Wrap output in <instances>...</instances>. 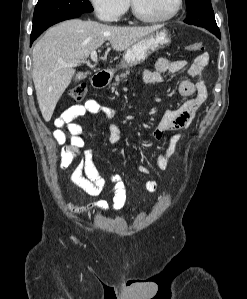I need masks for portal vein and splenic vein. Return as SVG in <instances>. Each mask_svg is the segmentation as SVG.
I'll return each mask as SVG.
<instances>
[{
    "instance_id": "18ae733b",
    "label": "portal vein and splenic vein",
    "mask_w": 247,
    "mask_h": 299,
    "mask_svg": "<svg viewBox=\"0 0 247 299\" xmlns=\"http://www.w3.org/2000/svg\"><path fill=\"white\" fill-rule=\"evenodd\" d=\"M90 58L95 63L98 61L97 52L95 50L91 52ZM62 64L65 66H68V67H76V66L80 65L81 63L79 61H71V62H67V63L63 62Z\"/></svg>"
}]
</instances>
